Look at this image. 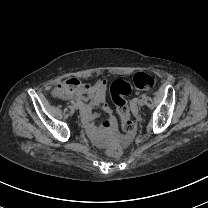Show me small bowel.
I'll list each match as a JSON object with an SVG mask.
<instances>
[{"instance_id":"small-bowel-1","label":"small bowel","mask_w":208,"mask_h":208,"mask_svg":"<svg viewBox=\"0 0 208 208\" xmlns=\"http://www.w3.org/2000/svg\"><path fill=\"white\" fill-rule=\"evenodd\" d=\"M81 84V79L75 77L69 82L64 83L62 89H56L54 95L61 101L72 100V102L82 110L87 118L86 127L88 128L89 138L94 146L100 147L106 142L108 133L116 126L115 118L111 113L109 105L105 101H103L101 108L105 120L100 124L99 129L97 123L93 121L97 114L93 112L92 109L101 103V96H104L106 86L103 82H99L94 87L79 89ZM76 90H78V93L75 95L73 91Z\"/></svg>"}]
</instances>
